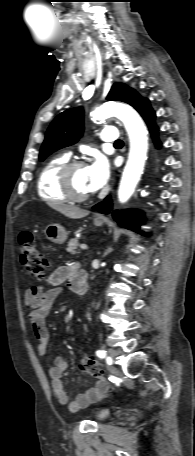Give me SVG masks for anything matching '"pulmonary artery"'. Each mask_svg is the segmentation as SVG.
<instances>
[{
    "label": "pulmonary artery",
    "instance_id": "e3ab8cb5",
    "mask_svg": "<svg viewBox=\"0 0 195 456\" xmlns=\"http://www.w3.org/2000/svg\"><path fill=\"white\" fill-rule=\"evenodd\" d=\"M99 136L104 142H116L118 140V131L115 127H107L101 131Z\"/></svg>",
    "mask_w": 195,
    "mask_h": 456
}]
</instances>
